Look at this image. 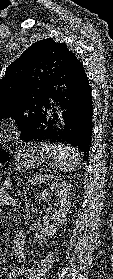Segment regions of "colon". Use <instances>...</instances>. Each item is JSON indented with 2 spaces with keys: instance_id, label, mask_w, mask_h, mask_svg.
<instances>
[{
  "instance_id": "1",
  "label": "colon",
  "mask_w": 113,
  "mask_h": 279,
  "mask_svg": "<svg viewBox=\"0 0 113 279\" xmlns=\"http://www.w3.org/2000/svg\"><path fill=\"white\" fill-rule=\"evenodd\" d=\"M9 153L6 149L0 147V164L7 161Z\"/></svg>"
}]
</instances>
